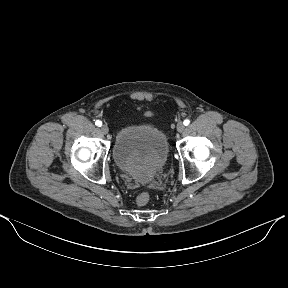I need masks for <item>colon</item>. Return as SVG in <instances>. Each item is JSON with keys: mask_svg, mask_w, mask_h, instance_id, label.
Returning a JSON list of instances; mask_svg holds the SVG:
<instances>
[{"mask_svg": "<svg viewBox=\"0 0 288 288\" xmlns=\"http://www.w3.org/2000/svg\"><path fill=\"white\" fill-rule=\"evenodd\" d=\"M145 115L146 116H152L153 112L148 111L145 113ZM149 201H150V196L146 192L140 193L136 198V202L140 206H144V205L148 204Z\"/></svg>", "mask_w": 288, "mask_h": 288, "instance_id": "5ec220e1", "label": "colon"}]
</instances>
